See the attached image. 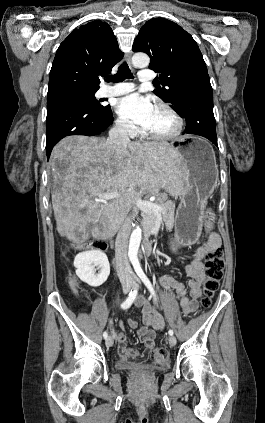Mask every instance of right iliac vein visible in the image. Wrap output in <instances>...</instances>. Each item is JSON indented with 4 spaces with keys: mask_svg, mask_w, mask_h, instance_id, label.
<instances>
[{
    "mask_svg": "<svg viewBox=\"0 0 265 423\" xmlns=\"http://www.w3.org/2000/svg\"><path fill=\"white\" fill-rule=\"evenodd\" d=\"M132 285H133L132 281H130V280H124L122 282V290H123V293H125V294L129 293ZM105 344H106L107 347H111L113 345V338L111 336H109L106 339Z\"/></svg>",
    "mask_w": 265,
    "mask_h": 423,
    "instance_id": "1",
    "label": "right iliac vein"
}]
</instances>
